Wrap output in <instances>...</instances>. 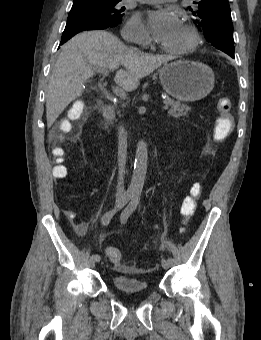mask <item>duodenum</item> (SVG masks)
<instances>
[{
  "instance_id": "1",
  "label": "duodenum",
  "mask_w": 261,
  "mask_h": 340,
  "mask_svg": "<svg viewBox=\"0 0 261 340\" xmlns=\"http://www.w3.org/2000/svg\"><path fill=\"white\" fill-rule=\"evenodd\" d=\"M113 116V109L111 105H107L104 110V124L106 127L109 126Z\"/></svg>"
}]
</instances>
